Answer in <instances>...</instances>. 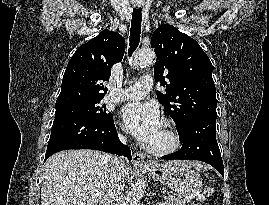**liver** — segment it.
I'll list each match as a JSON object with an SVG mask.
<instances>
[{"label":"liver","instance_id":"1","mask_svg":"<svg viewBox=\"0 0 269 205\" xmlns=\"http://www.w3.org/2000/svg\"><path fill=\"white\" fill-rule=\"evenodd\" d=\"M107 153L95 150H68L51 156L44 165L41 205H98L109 179ZM191 167L203 169L199 162ZM129 167L124 168V177Z\"/></svg>","mask_w":269,"mask_h":205}]
</instances>
